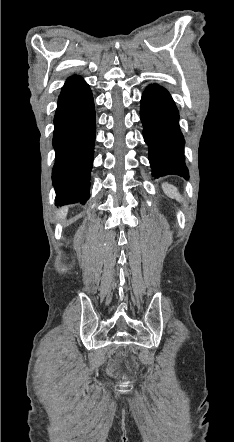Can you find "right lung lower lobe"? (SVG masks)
Masks as SVG:
<instances>
[{"mask_svg":"<svg viewBox=\"0 0 234 442\" xmlns=\"http://www.w3.org/2000/svg\"><path fill=\"white\" fill-rule=\"evenodd\" d=\"M54 125L56 161L52 179L55 204L85 203L90 195L95 109L91 90L82 78L70 77L63 86Z\"/></svg>","mask_w":234,"mask_h":442,"instance_id":"98d812e1","label":"right lung lower lobe"}]
</instances>
